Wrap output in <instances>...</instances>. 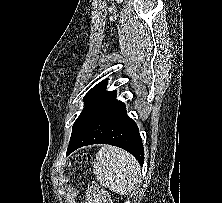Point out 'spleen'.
<instances>
[{"instance_id": "obj_1", "label": "spleen", "mask_w": 222, "mask_h": 203, "mask_svg": "<svg viewBox=\"0 0 222 203\" xmlns=\"http://www.w3.org/2000/svg\"><path fill=\"white\" fill-rule=\"evenodd\" d=\"M93 173L101 184L120 194L130 193L141 180L137 160L125 150L110 145L98 151Z\"/></svg>"}]
</instances>
